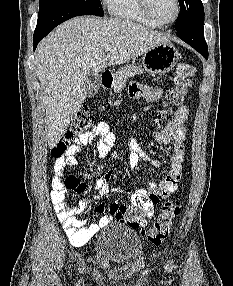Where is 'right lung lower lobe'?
Here are the masks:
<instances>
[{"instance_id":"right-lung-lower-lobe-1","label":"right lung lower lobe","mask_w":233,"mask_h":286,"mask_svg":"<svg viewBox=\"0 0 233 286\" xmlns=\"http://www.w3.org/2000/svg\"><path fill=\"white\" fill-rule=\"evenodd\" d=\"M80 15H90L89 13L70 6H60L45 16L38 18L37 26L33 36V47L36 49L40 40L51 32L60 23Z\"/></svg>"}]
</instances>
